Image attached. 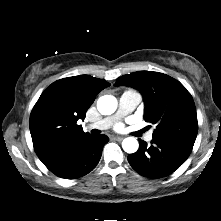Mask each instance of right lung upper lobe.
<instances>
[{
  "instance_id": "cb5924a9",
  "label": "right lung upper lobe",
  "mask_w": 221,
  "mask_h": 221,
  "mask_svg": "<svg viewBox=\"0 0 221 221\" xmlns=\"http://www.w3.org/2000/svg\"><path fill=\"white\" fill-rule=\"evenodd\" d=\"M108 86L104 80L79 75L57 80L41 94L29 126L34 150L46 167L90 135L77 121L85 118L96 95Z\"/></svg>"
}]
</instances>
